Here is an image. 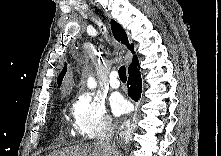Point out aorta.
Returning a JSON list of instances; mask_svg holds the SVG:
<instances>
[{
    "label": "aorta",
    "instance_id": "aorta-1",
    "mask_svg": "<svg viewBox=\"0 0 221 156\" xmlns=\"http://www.w3.org/2000/svg\"><path fill=\"white\" fill-rule=\"evenodd\" d=\"M88 87L91 88V89L96 87V82H95L94 78L90 77L88 79Z\"/></svg>",
    "mask_w": 221,
    "mask_h": 156
}]
</instances>
